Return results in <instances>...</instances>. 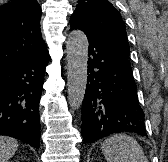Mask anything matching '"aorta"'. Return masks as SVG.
Here are the masks:
<instances>
[{"label": "aorta", "mask_w": 168, "mask_h": 162, "mask_svg": "<svg viewBox=\"0 0 168 162\" xmlns=\"http://www.w3.org/2000/svg\"><path fill=\"white\" fill-rule=\"evenodd\" d=\"M68 101L72 109L83 102L87 84L88 40L81 30L70 32L67 42Z\"/></svg>", "instance_id": "762f6f07"}]
</instances>
